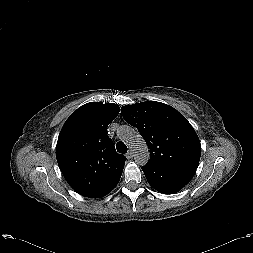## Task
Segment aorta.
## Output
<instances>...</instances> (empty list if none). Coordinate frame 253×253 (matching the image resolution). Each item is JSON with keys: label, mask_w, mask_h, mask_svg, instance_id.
Returning a JSON list of instances; mask_svg holds the SVG:
<instances>
[{"label": "aorta", "mask_w": 253, "mask_h": 253, "mask_svg": "<svg viewBox=\"0 0 253 253\" xmlns=\"http://www.w3.org/2000/svg\"><path fill=\"white\" fill-rule=\"evenodd\" d=\"M119 139L126 142L134 153V160L139 165H144L149 160V151L142 136L128 125L120 126L117 130Z\"/></svg>", "instance_id": "1"}]
</instances>
